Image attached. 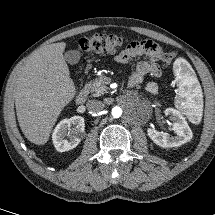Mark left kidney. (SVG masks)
Masks as SVG:
<instances>
[{"label":"left kidney","mask_w":215,"mask_h":215,"mask_svg":"<svg viewBox=\"0 0 215 215\" xmlns=\"http://www.w3.org/2000/svg\"><path fill=\"white\" fill-rule=\"evenodd\" d=\"M164 112L165 115H169L170 119L173 121L172 130L176 136L171 137L166 132H159L156 129L149 128L147 129V134L151 140L155 144L164 148L178 147L190 141L193 137V134L182 114L174 108H167Z\"/></svg>","instance_id":"1"}]
</instances>
